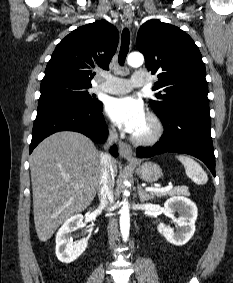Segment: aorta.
Returning a JSON list of instances; mask_svg holds the SVG:
<instances>
[{
  "label": "aorta",
  "instance_id": "1",
  "mask_svg": "<svg viewBox=\"0 0 233 283\" xmlns=\"http://www.w3.org/2000/svg\"><path fill=\"white\" fill-rule=\"evenodd\" d=\"M144 57L141 53L133 52L129 54L127 58L128 65L132 67H139L143 64ZM124 196L128 195V191H124ZM120 230L122 234V238L126 241L129 237V230H130V214H129V205L126 199L122 202V208L120 210Z\"/></svg>",
  "mask_w": 233,
  "mask_h": 283
}]
</instances>
